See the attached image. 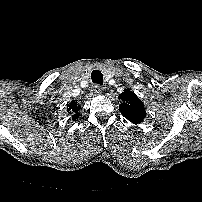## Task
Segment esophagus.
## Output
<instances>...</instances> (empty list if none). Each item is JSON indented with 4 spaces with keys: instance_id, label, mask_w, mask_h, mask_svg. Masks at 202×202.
I'll list each match as a JSON object with an SVG mask.
<instances>
[{
    "instance_id": "34e87169",
    "label": "esophagus",
    "mask_w": 202,
    "mask_h": 202,
    "mask_svg": "<svg viewBox=\"0 0 202 202\" xmlns=\"http://www.w3.org/2000/svg\"><path fill=\"white\" fill-rule=\"evenodd\" d=\"M93 90L97 94H102L103 91H104L103 87L101 85H99V84L94 85Z\"/></svg>"
}]
</instances>
